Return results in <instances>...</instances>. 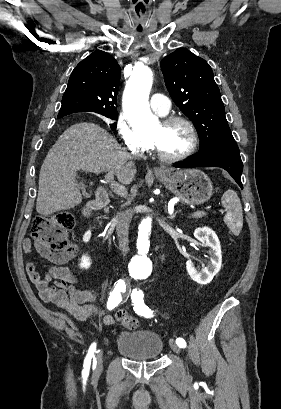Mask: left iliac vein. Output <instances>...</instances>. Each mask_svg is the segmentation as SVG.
<instances>
[{
    "label": "left iliac vein",
    "mask_w": 281,
    "mask_h": 409,
    "mask_svg": "<svg viewBox=\"0 0 281 409\" xmlns=\"http://www.w3.org/2000/svg\"><path fill=\"white\" fill-rule=\"evenodd\" d=\"M169 344H170V348L173 350V352H175L177 354H179L181 352L180 347L173 340H170Z\"/></svg>",
    "instance_id": "left-iliac-vein-1"
}]
</instances>
